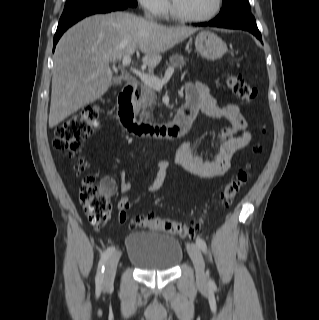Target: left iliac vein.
I'll return each mask as SVG.
<instances>
[{
    "instance_id": "4c4485c4",
    "label": "left iliac vein",
    "mask_w": 319,
    "mask_h": 320,
    "mask_svg": "<svg viewBox=\"0 0 319 320\" xmlns=\"http://www.w3.org/2000/svg\"><path fill=\"white\" fill-rule=\"evenodd\" d=\"M187 250L195 267L197 283L199 285H206L207 275L205 273L204 260L200 248L197 244L188 243Z\"/></svg>"
}]
</instances>
